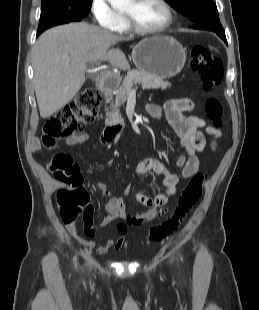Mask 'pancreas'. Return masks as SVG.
<instances>
[{"label": "pancreas", "mask_w": 259, "mask_h": 310, "mask_svg": "<svg viewBox=\"0 0 259 310\" xmlns=\"http://www.w3.org/2000/svg\"><path fill=\"white\" fill-rule=\"evenodd\" d=\"M137 84L141 85L144 89L165 90L171 86L169 82L164 81L160 77L152 76L138 70L129 71L123 80L121 88L116 93V102L112 105V111L106 114L107 124L123 122L119 111V106L126 101L132 87L135 85L137 88Z\"/></svg>", "instance_id": "cf45deb5"}]
</instances>
